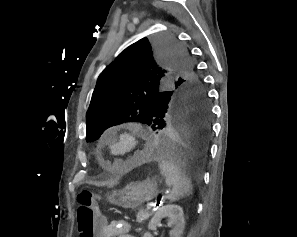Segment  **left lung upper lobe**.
<instances>
[{
	"instance_id": "left-lung-upper-lobe-1",
	"label": "left lung upper lobe",
	"mask_w": 297,
	"mask_h": 237,
	"mask_svg": "<svg viewBox=\"0 0 297 237\" xmlns=\"http://www.w3.org/2000/svg\"><path fill=\"white\" fill-rule=\"evenodd\" d=\"M208 102L187 50L171 36L143 38L100 74L86 114V141L105 129L138 121L157 130L174 103Z\"/></svg>"
}]
</instances>
